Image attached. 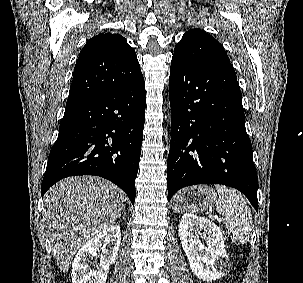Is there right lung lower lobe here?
Masks as SVG:
<instances>
[{
  "mask_svg": "<svg viewBox=\"0 0 303 283\" xmlns=\"http://www.w3.org/2000/svg\"><path fill=\"white\" fill-rule=\"evenodd\" d=\"M145 106L143 77L118 91L66 106L42 196L65 177L96 175L119 186L134 205Z\"/></svg>",
  "mask_w": 303,
  "mask_h": 283,
  "instance_id": "98d812e1",
  "label": "right lung lower lobe"
}]
</instances>
